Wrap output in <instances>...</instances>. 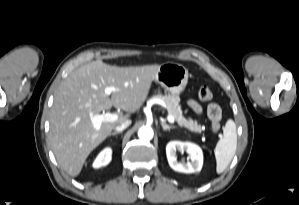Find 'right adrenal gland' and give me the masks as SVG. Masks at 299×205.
I'll use <instances>...</instances> for the list:
<instances>
[{
    "mask_svg": "<svg viewBox=\"0 0 299 205\" xmlns=\"http://www.w3.org/2000/svg\"><path fill=\"white\" fill-rule=\"evenodd\" d=\"M120 133H121V132H112V133L109 134V137H111V136H115V135L120 134Z\"/></svg>",
    "mask_w": 299,
    "mask_h": 205,
    "instance_id": "1",
    "label": "right adrenal gland"
}]
</instances>
